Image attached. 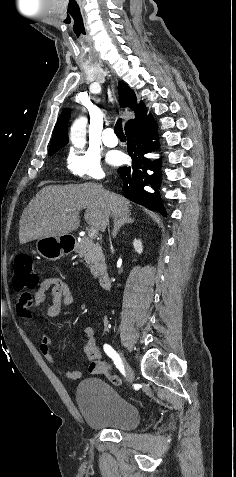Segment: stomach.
<instances>
[{
  "label": "stomach",
  "instance_id": "0dacf381",
  "mask_svg": "<svg viewBox=\"0 0 236 477\" xmlns=\"http://www.w3.org/2000/svg\"><path fill=\"white\" fill-rule=\"evenodd\" d=\"M36 250L42 257L49 260H57L70 251L63 244L62 236L38 239L36 242Z\"/></svg>",
  "mask_w": 236,
  "mask_h": 477
}]
</instances>
